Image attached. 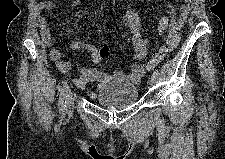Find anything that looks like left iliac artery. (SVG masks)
Listing matches in <instances>:
<instances>
[{
	"label": "left iliac artery",
	"mask_w": 225,
	"mask_h": 159,
	"mask_svg": "<svg viewBox=\"0 0 225 159\" xmlns=\"http://www.w3.org/2000/svg\"><path fill=\"white\" fill-rule=\"evenodd\" d=\"M159 74H160V73H159V71H158V70H155V71L153 72V75H154V76H156V77H158V76H159Z\"/></svg>",
	"instance_id": "1"
}]
</instances>
